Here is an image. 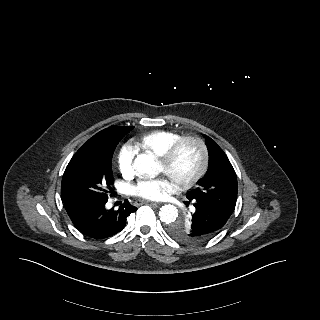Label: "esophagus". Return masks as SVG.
Returning a JSON list of instances; mask_svg holds the SVG:
<instances>
[{
  "instance_id": "esophagus-1",
  "label": "esophagus",
  "mask_w": 320,
  "mask_h": 320,
  "mask_svg": "<svg viewBox=\"0 0 320 320\" xmlns=\"http://www.w3.org/2000/svg\"><path fill=\"white\" fill-rule=\"evenodd\" d=\"M142 204H152L154 206H159L160 205V203L151 202V201H148V200H138V201L135 202L136 206H139V205H142Z\"/></svg>"
}]
</instances>
